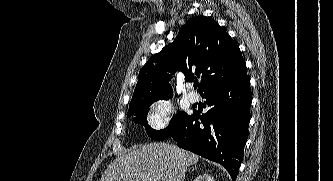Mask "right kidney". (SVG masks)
<instances>
[{"label": "right kidney", "mask_w": 333, "mask_h": 181, "mask_svg": "<svg viewBox=\"0 0 333 181\" xmlns=\"http://www.w3.org/2000/svg\"><path fill=\"white\" fill-rule=\"evenodd\" d=\"M194 181H214V179L208 174H201Z\"/></svg>", "instance_id": "right-kidney-1"}]
</instances>
